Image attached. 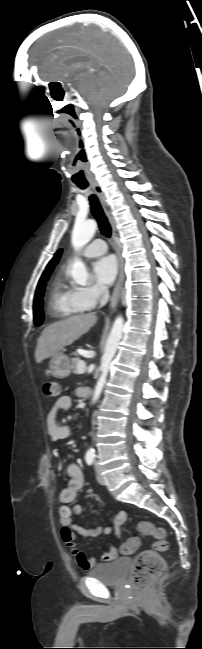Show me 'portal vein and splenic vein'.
Instances as JSON below:
<instances>
[{
    "instance_id": "portal-vein-and-splenic-vein-1",
    "label": "portal vein and splenic vein",
    "mask_w": 202,
    "mask_h": 649,
    "mask_svg": "<svg viewBox=\"0 0 202 649\" xmlns=\"http://www.w3.org/2000/svg\"><path fill=\"white\" fill-rule=\"evenodd\" d=\"M77 368H78V371H79L80 374L85 373V371H86L85 362L84 361H79L78 364H77Z\"/></svg>"
}]
</instances>
